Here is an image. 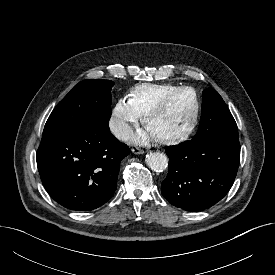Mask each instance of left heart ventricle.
Here are the masks:
<instances>
[{
	"label": "left heart ventricle",
	"mask_w": 275,
	"mask_h": 275,
	"mask_svg": "<svg viewBox=\"0 0 275 275\" xmlns=\"http://www.w3.org/2000/svg\"><path fill=\"white\" fill-rule=\"evenodd\" d=\"M193 112V94L182 92L173 97L166 108L151 119L147 127L156 139L175 136L188 126Z\"/></svg>",
	"instance_id": "1"
}]
</instances>
